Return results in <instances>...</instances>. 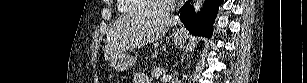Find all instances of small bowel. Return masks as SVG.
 Segmentation results:
<instances>
[{
	"label": "small bowel",
	"instance_id": "1",
	"mask_svg": "<svg viewBox=\"0 0 307 83\" xmlns=\"http://www.w3.org/2000/svg\"><path fill=\"white\" fill-rule=\"evenodd\" d=\"M134 83H151V80L144 73H137L134 75Z\"/></svg>",
	"mask_w": 307,
	"mask_h": 83
}]
</instances>
